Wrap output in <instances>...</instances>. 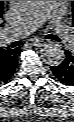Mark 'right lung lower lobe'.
Returning a JSON list of instances; mask_svg holds the SVG:
<instances>
[{"label": "right lung lower lobe", "mask_w": 74, "mask_h": 122, "mask_svg": "<svg viewBox=\"0 0 74 122\" xmlns=\"http://www.w3.org/2000/svg\"><path fill=\"white\" fill-rule=\"evenodd\" d=\"M20 49H10L6 50L0 56V84L6 83L11 79L17 64L18 56L20 54Z\"/></svg>", "instance_id": "98d812e1"}]
</instances>
